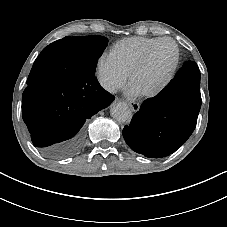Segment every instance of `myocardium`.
Segmentation results:
<instances>
[{
	"instance_id": "1",
	"label": "myocardium",
	"mask_w": 227,
	"mask_h": 227,
	"mask_svg": "<svg viewBox=\"0 0 227 227\" xmlns=\"http://www.w3.org/2000/svg\"><path fill=\"white\" fill-rule=\"evenodd\" d=\"M162 42H169V43L173 44V46L175 47V50H176V55H175L172 65H171L167 75L163 79V81L153 90L141 94L145 98H154V97L158 96L159 94H161L168 87V85L171 83V81L173 80V78L175 76V73L178 69V66H179V63L181 60V51H180V47H179L178 43L174 39L169 38V37L159 38L145 50L142 57L136 62V64L131 69V71L129 73V78H128L129 84L132 83V80L135 77V75L146 66L154 48Z\"/></svg>"
}]
</instances>
